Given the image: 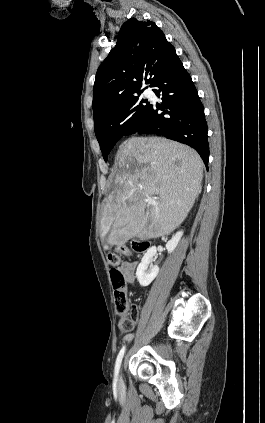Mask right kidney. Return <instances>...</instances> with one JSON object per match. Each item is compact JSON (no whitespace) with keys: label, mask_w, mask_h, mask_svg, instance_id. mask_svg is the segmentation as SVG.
<instances>
[{"label":"right kidney","mask_w":265,"mask_h":423,"mask_svg":"<svg viewBox=\"0 0 265 423\" xmlns=\"http://www.w3.org/2000/svg\"><path fill=\"white\" fill-rule=\"evenodd\" d=\"M183 235V231H178L174 234L166 244V249L168 253H172L175 248L177 247L181 237ZM157 254V249L155 246H152L147 250L144 254L141 263L137 267L136 276L139 281V284L143 287L150 285V283L155 279L159 272V268L156 265H152V260ZM150 265V268L148 269Z\"/></svg>","instance_id":"ca27d5eb"}]
</instances>
